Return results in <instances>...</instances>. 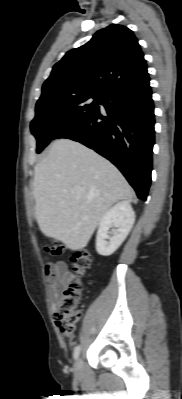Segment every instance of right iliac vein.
Listing matches in <instances>:
<instances>
[{"label": "right iliac vein", "instance_id": "obj_1", "mask_svg": "<svg viewBox=\"0 0 182 399\" xmlns=\"http://www.w3.org/2000/svg\"><path fill=\"white\" fill-rule=\"evenodd\" d=\"M83 369V361L81 358H78L74 365V374L76 377H80Z\"/></svg>", "mask_w": 182, "mask_h": 399}]
</instances>
